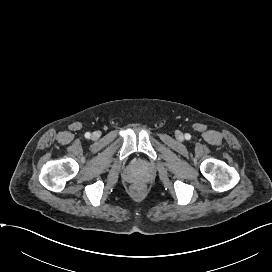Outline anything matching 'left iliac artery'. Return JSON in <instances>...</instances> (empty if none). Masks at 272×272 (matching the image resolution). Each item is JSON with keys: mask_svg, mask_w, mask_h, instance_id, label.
I'll list each match as a JSON object with an SVG mask.
<instances>
[{"mask_svg": "<svg viewBox=\"0 0 272 272\" xmlns=\"http://www.w3.org/2000/svg\"><path fill=\"white\" fill-rule=\"evenodd\" d=\"M185 138H186V139H189V138H190V135H189V134H186V135H185Z\"/></svg>", "mask_w": 272, "mask_h": 272, "instance_id": "1", "label": "left iliac artery"}]
</instances>
